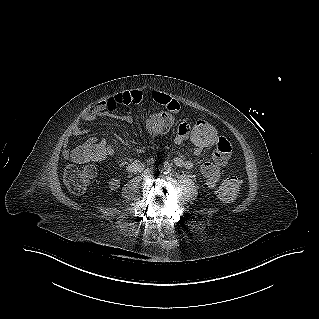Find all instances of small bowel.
Instances as JSON below:
<instances>
[{"instance_id": "c3829d8e", "label": "small bowel", "mask_w": 319, "mask_h": 319, "mask_svg": "<svg viewBox=\"0 0 319 319\" xmlns=\"http://www.w3.org/2000/svg\"><path fill=\"white\" fill-rule=\"evenodd\" d=\"M150 100L155 103L156 108H165L166 113H177L178 108L182 107L181 99H171L168 95L153 91L150 93ZM144 94L140 90H132L126 92L117 93L107 99L102 100L100 103L94 105L88 109L82 116L79 122L74 123L69 131L71 136H82L87 134L88 130L85 128L84 124L93 122L97 117L106 115L108 113L114 112L121 106L129 104H138L143 101ZM122 120L130 122L131 119L128 117H121ZM203 121V120H198ZM174 130H176V135L174 141L176 144H182L186 140L185 135H191L192 128L189 121H174ZM218 148L213 152L212 157L205 161L200 167V173L205 179V183L208 188H214L217 186L221 179L222 169L226 165L228 157L231 156L232 151L226 139L218 137L215 140ZM69 139L65 142V151L68 152ZM84 146L90 149H96L98 152L99 160H105L113 153L112 147L98 139L92 137L89 138ZM194 155L196 157H202L204 151L194 149ZM154 163V159L150 158L147 161H133L128 164L127 169L130 172L140 171L144 168L145 164ZM174 163L177 166L183 167L185 169H191L193 167V162L181 158H174Z\"/></svg>"}]
</instances>
